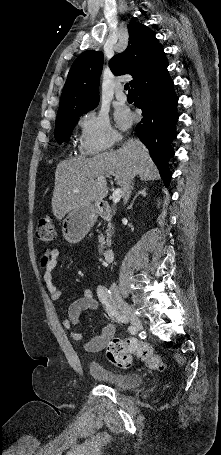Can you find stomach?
Segmentation results:
<instances>
[{"label":"stomach","instance_id":"obj_1","mask_svg":"<svg viewBox=\"0 0 221 455\" xmlns=\"http://www.w3.org/2000/svg\"><path fill=\"white\" fill-rule=\"evenodd\" d=\"M97 213V206L93 204L80 205L69 211L62 221L64 239L71 244L80 242L95 224Z\"/></svg>","mask_w":221,"mask_h":455}]
</instances>
